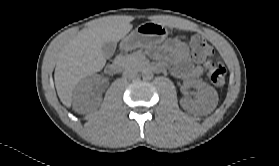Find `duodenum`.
Wrapping results in <instances>:
<instances>
[{
    "instance_id": "obj_1",
    "label": "duodenum",
    "mask_w": 279,
    "mask_h": 166,
    "mask_svg": "<svg viewBox=\"0 0 279 166\" xmlns=\"http://www.w3.org/2000/svg\"><path fill=\"white\" fill-rule=\"evenodd\" d=\"M124 66V60L122 56L116 57L107 67V71L109 74H117L119 73ZM145 69L147 70H159L161 67L158 64L154 65H145Z\"/></svg>"
}]
</instances>
